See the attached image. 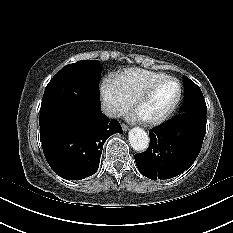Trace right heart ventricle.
Wrapping results in <instances>:
<instances>
[{
    "label": "right heart ventricle",
    "instance_id": "obj_1",
    "mask_svg": "<svg viewBox=\"0 0 233 233\" xmlns=\"http://www.w3.org/2000/svg\"><path fill=\"white\" fill-rule=\"evenodd\" d=\"M162 76H164L162 73L140 68H130L115 75L113 80L119 90L131 100L150 82Z\"/></svg>",
    "mask_w": 233,
    "mask_h": 233
}]
</instances>
